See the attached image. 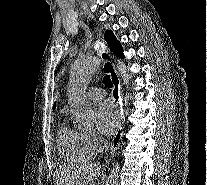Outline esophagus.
I'll return each instance as SVG.
<instances>
[{
    "instance_id": "34e87169",
    "label": "esophagus",
    "mask_w": 207,
    "mask_h": 185,
    "mask_svg": "<svg viewBox=\"0 0 207 185\" xmlns=\"http://www.w3.org/2000/svg\"><path fill=\"white\" fill-rule=\"evenodd\" d=\"M100 47H103V44H100ZM100 55L102 56V61H111V56H106L109 55V50H100ZM103 71L108 73L110 76L113 85L111 95L118 107L117 131L113 137V141L109 149V158H111L112 156H114L115 152L117 151L122 136L125 135V132L122 131V119L124 118V115H126L127 106H122L120 78L116 71V68L113 65V62H104ZM103 171L105 172L106 170L104 169Z\"/></svg>"
}]
</instances>
